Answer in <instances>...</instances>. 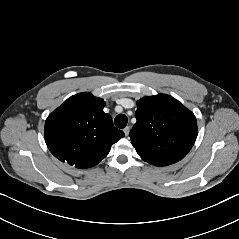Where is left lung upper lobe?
Returning <instances> with one entry per match:
<instances>
[{"mask_svg":"<svg viewBox=\"0 0 239 239\" xmlns=\"http://www.w3.org/2000/svg\"><path fill=\"white\" fill-rule=\"evenodd\" d=\"M130 138L138 155L155 166L184 158L197 137L195 115L175 98L158 94L137 101Z\"/></svg>","mask_w":239,"mask_h":239,"instance_id":"left-lung-upper-lobe-1","label":"left lung upper lobe"}]
</instances>
